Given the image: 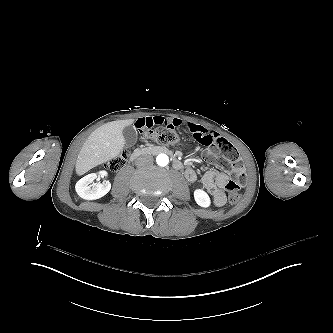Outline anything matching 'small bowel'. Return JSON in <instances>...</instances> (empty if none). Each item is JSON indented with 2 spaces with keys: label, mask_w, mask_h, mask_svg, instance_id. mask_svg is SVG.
<instances>
[{
  "label": "small bowel",
  "mask_w": 333,
  "mask_h": 333,
  "mask_svg": "<svg viewBox=\"0 0 333 333\" xmlns=\"http://www.w3.org/2000/svg\"><path fill=\"white\" fill-rule=\"evenodd\" d=\"M181 120L166 119L161 116H151L140 118L135 122V126L139 129L149 128L153 126L165 125L167 127H176L181 125ZM193 132L198 134H207V131L197 125H190ZM213 135V134H211ZM213 151H208V155ZM185 177L189 182H195L197 180V174L192 168H187L185 171ZM229 175L224 171H218L215 169L207 170L202 178L201 182L205 190L209 193L213 203L216 206H223L226 203L225 187L229 182Z\"/></svg>",
  "instance_id": "c3829d8e"
}]
</instances>
